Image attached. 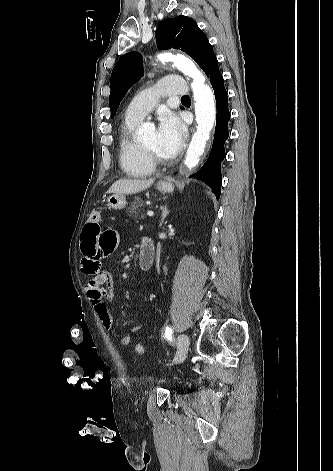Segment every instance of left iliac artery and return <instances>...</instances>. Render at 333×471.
I'll use <instances>...</instances> for the list:
<instances>
[{
    "mask_svg": "<svg viewBox=\"0 0 333 471\" xmlns=\"http://www.w3.org/2000/svg\"><path fill=\"white\" fill-rule=\"evenodd\" d=\"M172 333H173L172 328L169 327V326H167V327L165 328L164 337H165L166 339H170V338H172Z\"/></svg>",
    "mask_w": 333,
    "mask_h": 471,
    "instance_id": "obj_1",
    "label": "left iliac artery"
}]
</instances>
